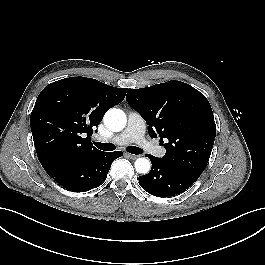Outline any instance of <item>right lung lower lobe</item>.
<instances>
[{
	"label": "right lung lower lobe",
	"mask_w": 265,
	"mask_h": 265,
	"mask_svg": "<svg viewBox=\"0 0 265 265\" xmlns=\"http://www.w3.org/2000/svg\"><path fill=\"white\" fill-rule=\"evenodd\" d=\"M123 152H100L96 155L64 162L46 170L62 187L84 192L99 187L106 179L112 162Z\"/></svg>",
	"instance_id": "obj_1"
}]
</instances>
